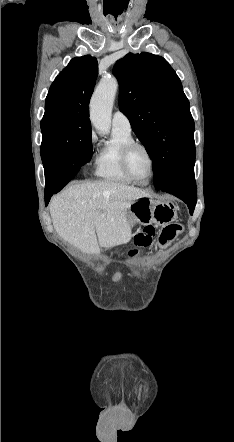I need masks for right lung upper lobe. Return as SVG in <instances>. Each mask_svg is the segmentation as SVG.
<instances>
[{
    "label": "right lung upper lobe",
    "mask_w": 234,
    "mask_h": 442,
    "mask_svg": "<svg viewBox=\"0 0 234 442\" xmlns=\"http://www.w3.org/2000/svg\"><path fill=\"white\" fill-rule=\"evenodd\" d=\"M98 75V63L90 55L70 61L52 83L43 119L67 116L89 122V101Z\"/></svg>",
    "instance_id": "right-lung-upper-lobe-1"
}]
</instances>
